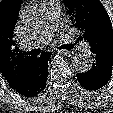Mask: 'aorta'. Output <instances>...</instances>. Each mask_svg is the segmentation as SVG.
<instances>
[{
    "instance_id": "obj_1",
    "label": "aorta",
    "mask_w": 113,
    "mask_h": 113,
    "mask_svg": "<svg viewBox=\"0 0 113 113\" xmlns=\"http://www.w3.org/2000/svg\"><path fill=\"white\" fill-rule=\"evenodd\" d=\"M93 58L88 53H78L72 58V65L76 71L85 73L93 66Z\"/></svg>"
}]
</instances>
